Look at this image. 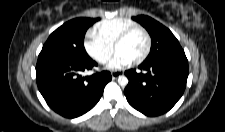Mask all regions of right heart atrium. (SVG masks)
Here are the masks:
<instances>
[{
    "instance_id": "obj_1",
    "label": "right heart atrium",
    "mask_w": 225,
    "mask_h": 132,
    "mask_svg": "<svg viewBox=\"0 0 225 132\" xmlns=\"http://www.w3.org/2000/svg\"><path fill=\"white\" fill-rule=\"evenodd\" d=\"M84 49L93 60L100 64L107 63L113 54V47L105 44L95 35H89L85 38Z\"/></svg>"
}]
</instances>
